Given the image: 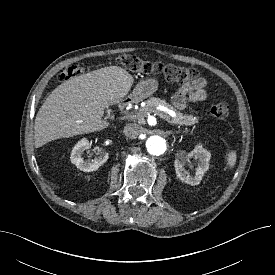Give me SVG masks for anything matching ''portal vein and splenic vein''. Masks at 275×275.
<instances>
[{
  "mask_svg": "<svg viewBox=\"0 0 275 275\" xmlns=\"http://www.w3.org/2000/svg\"><path fill=\"white\" fill-rule=\"evenodd\" d=\"M172 114H173V112L171 111V112H170V115H172ZM155 115H158V116L161 117L162 119L166 120L168 123H171L170 118H169L167 115H164V114H162V113H155Z\"/></svg>",
  "mask_w": 275,
  "mask_h": 275,
  "instance_id": "1",
  "label": "portal vein and splenic vein"
}]
</instances>
